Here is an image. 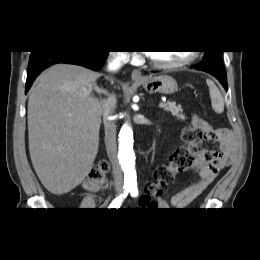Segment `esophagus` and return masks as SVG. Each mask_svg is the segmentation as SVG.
Listing matches in <instances>:
<instances>
[{"mask_svg":"<svg viewBox=\"0 0 260 260\" xmlns=\"http://www.w3.org/2000/svg\"><path fill=\"white\" fill-rule=\"evenodd\" d=\"M131 77L133 80H142L143 76L139 69H134L131 73Z\"/></svg>","mask_w":260,"mask_h":260,"instance_id":"1","label":"esophagus"}]
</instances>
